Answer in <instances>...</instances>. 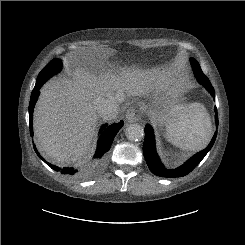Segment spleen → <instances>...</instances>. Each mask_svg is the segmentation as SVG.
Returning <instances> with one entry per match:
<instances>
[{
	"label": "spleen",
	"instance_id": "1",
	"mask_svg": "<svg viewBox=\"0 0 245 245\" xmlns=\"http://www.w3.org/2000/svg\"><path fill=\"white\" fill-rule=\"evenodd\" d=\"M167 138L176 147L198 151L205 148L212 137L209 113L200 103L185 106L178 119L166 125Z\"/></svg>",
	"mask_w": 245,
	"mask_h": 245
}]
</instances>
